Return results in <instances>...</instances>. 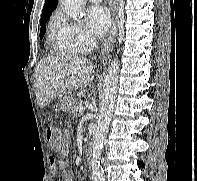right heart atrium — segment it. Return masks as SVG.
Here are the masks:
<instances>
[{
  "instance_id": "d8ad5b80",
  "label": "right heart atrium",
  "mask_w": 197,
  "mask_h": 181,
  "mask_svg": "<svg viewBox=\"0 0 197 181\" xmlns=\"http://www.w3.org/2000/svg\"><path fill=\"white\" fill-rule=\"evenodd\" d=\"M79 52H87L93 48L96 39L83 25L76 22H64Z\"/></svg>"
}]
</instances>
